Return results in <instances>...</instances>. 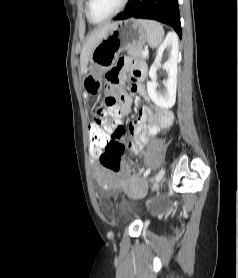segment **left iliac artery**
Returning a JSON list of instances; mask_svg holds the SVG:
<instances>
[{
    "label": "left iliac artery",
    "mask_w": 238,
    "mask_h": 278,
    "mask_svg": "<svg viewBox=\"0 0 238 278\" xmlns=\"http://www.w3.org/2000/svg\"><path fill=\"white\" fill-rule=\"evenodd\" d=\"M151 172V168H148L145 172H144V177H147Z\"/></svg>",
    "instance_id": "obj_1"
}]
</instances>
